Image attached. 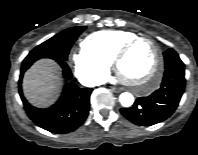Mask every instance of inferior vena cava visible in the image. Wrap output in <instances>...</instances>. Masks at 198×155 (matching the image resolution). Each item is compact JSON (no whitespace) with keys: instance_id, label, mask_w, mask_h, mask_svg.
<instances>
[{"instance_id":"1","label":"inferior vena cava","mask_w":198,"mask_h":155,"mask_svg":"<svg viewBox=\"0 0 198 155\" xmlns=\"http://www.w3.org/2000/svg\"><path fill=\"white\" fill-rule=\"evenodd\" d=\"M104 83H105L104 80L95 79V78L88 79V80H85L83 82V84L86 85V86H88V87H94V86H98V85H101V84H104Z\"/></svg>"}]
</instances>
